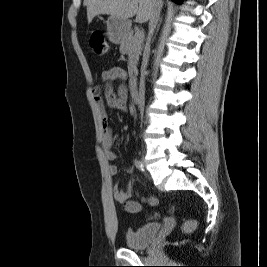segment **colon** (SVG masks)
<instances>
[{"label": "colon", "mask_w": 267, "mask_h": 267, "mask_svg": "<svg viewBox=\"0 0 267 267\" xmlns=\"http://www.w3.org/2000/svg\"><path fill=\"white\" fill-rule=\"evenodd\" d=\"M90 44L95 53L99 55H106L109 52V44L104 36L97 32L94 33L90 38ZM196 223L193 220H188L183 224V231L185 233H191L195 229Z\"/></svg>", "instance_id": "obj_1"}]
</instances>
